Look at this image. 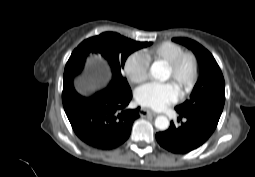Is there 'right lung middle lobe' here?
<instances>
[{"mask_svg": "<svg viewBox=\"0 0 255 177\" xmlns=\"http://www.w3.org/2000/svg\"><path fill=\"white\" fill-rule=\"evenodd\" d=\"M151 42H137L118 33L105 32L83 41L71 54L64 71V80L73 79L79 74L89 53H99L110 66L112 79L108 87L119 93H129L130 87L122 73L127 57Z\"/></svg>", "mask_w": 255, "mask_h": 177, "instance_id": "dd1d6c3e", "label": "right lung middle lobe"}]
</instances>
